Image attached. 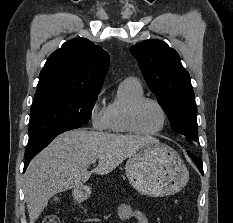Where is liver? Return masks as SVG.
<instances>
[{"instance_id":"6515ba94","label":"liver","mask_w":233,"mask_h":223,"mask_svg":"<svg viewBox=\"0 0 233 223\" xmlns=\"http://www.w3.org/2000/svg\"><path fill=\"white\" fill-rule=\"evenodd\" d=\"M158 141L157 137L88 131V127L61 133L31 159L24 173L30 223H35L49 199L59 191L84 185L91 173H110L140 147ZM92 159H98V165L88 171Z\"/></svg>"}]
</instances>
